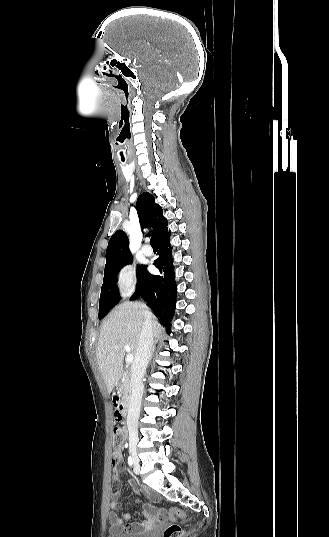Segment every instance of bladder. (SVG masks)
Masks as SVG:
<instances>
[{
	"label": "bladder",
	"instance_id": "31cf9c89",
	"mask_svg": "<svg viewBox=\"0 0 329 537\" xmlns=\"http://www.w3.org/2000/svg\"><path fill=\"white\" fill-rule=\"evenodd\" d=\"M108 537H155V535L151 531H146V532H141V533H125V532H114L110 530Z\"/></svg>",
	"mask_w": 329,
	"mask_h": 537
}]
</instances>
